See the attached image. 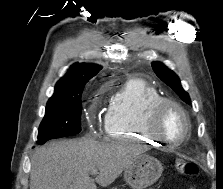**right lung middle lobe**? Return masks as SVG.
I'll list each match as a JSON object with an SVG mask.
<instances>
[{
    "instance_id": "1",
    "label": "right lung middle lobe",
    "mask_w": 223,
    "mask_h": 189,
    "mask_svg": "<svg viewBox=\"0 0 223 189\" xmlns=\"http://www.w3.org/2000/svg\"><path fill=\"white\" fill-rule=\"evenodd\" d=\"M82 92L80 90L72 95L52 96L48 100L45 116L39 127L37 144L81 131Z\"/></svg>"
}]
</instances>
